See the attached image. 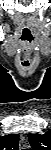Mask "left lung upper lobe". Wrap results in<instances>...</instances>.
<instances>
[{
	"label": "left lung upper lobe",
	"mask_w": 51,
	"mask_h": 150,
	"mask_svg": "<svg viewBox=\"0 0 51 150\" xmlns=\"http://www.w3.org/2000/svg\"><path fill=\"white\" fill-rule=\"evenodd\" d=\"M28 139L34 150H44L51 145V130L43 135L29 134Z\"/></svg>",
	"instance_id": "left-lung-upper-lobe-1"
}]
</instances>
